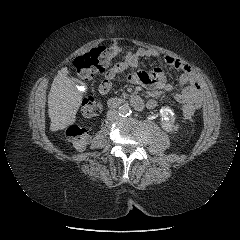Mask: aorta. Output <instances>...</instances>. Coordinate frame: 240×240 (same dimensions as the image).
I'll use <instances>...</instances> for the list:
<instances>
[{
  "label": "aorta",
  "instance_id": "1",
  "mask_svg": "<svg viewBox=\"0 0 240 240\" xmlns=\"http://www.w3.org/2000/svg\"><path fill=\"white\" fill-rule=\"evenodd\" d=\"M118 112L120 116L127 117L131 114L132 111L129 105L124 104L119 107Z\"/></svg>",
  "mask_w": 240,
  "mask_h": 240
}]
</instances>
